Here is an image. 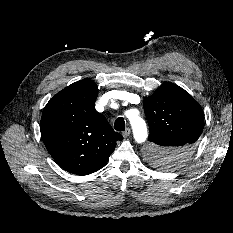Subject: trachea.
Here are the masks:
<instances>
[{"mask_svg":"<svg viewBox=\"0 0 233 233\" xmlns=\"http://www.w3.org/2000/svg\"><path fill=\"white\" fill-rule=\"evenodd\" d=\"M114 128L116 131H124L125 130V121L122 117L116 119Z\"/></svg>","mask_w":233,"mask_h":233,"instance_id":"3493384b","label":"trachea"}]
</instances>
